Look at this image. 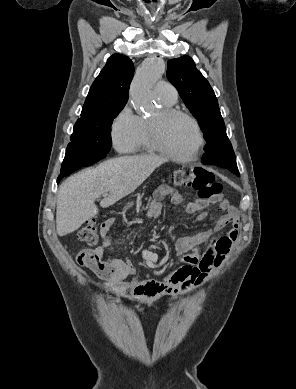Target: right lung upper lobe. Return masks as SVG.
<instances>
[{"instance_id":"cb5924a9","label":"right lung upper lobe","mask_w":296,"mask_h":389,"mask_svg":"<svg viewBox=\"0 0 296 389\" xmlns=\"http://www.w3.org/2000/svg\"><path fill=\"white\" fill-rule=\"evenodd\" d=\"M134 75V65L125 55L114 54L93 82L81 118L97 112L124 107Z\"/></svg>"}]
</instances>
